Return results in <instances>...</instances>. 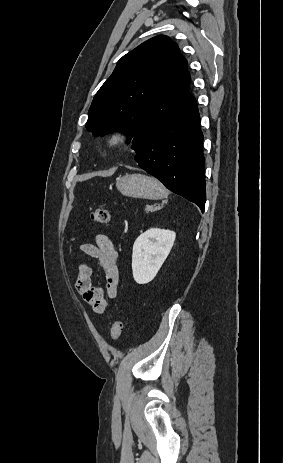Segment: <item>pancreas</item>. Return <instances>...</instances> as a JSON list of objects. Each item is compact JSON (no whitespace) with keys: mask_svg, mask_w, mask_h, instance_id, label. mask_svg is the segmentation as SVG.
Wrapping results in <instances>:
<instances>
[{"mask_svg":"<svg viewBox=\"0 0 283 463\" xmlns=\"http://www.w3.org/2000/svg\"><path fill=\"white\" fill-rule=\"evenodd\" d=\"M157 209L154 206L146 205L145 212H154Z\"/></svg>","mask_w":283,"mask_h":463,"instance_id":"obj_1","label":"pancreas"}]
</instances>
